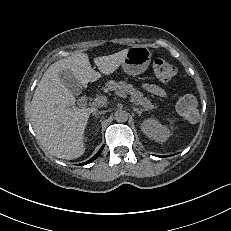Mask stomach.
<instances>
[{"instance_id": "obj_1", "label": "stomach", "mask_w": 231, "mask_h": 231, "mask_svg": "<svg viewBox=\"0 0 231 231\" xmlns=\"http://www.w3.org/2000/svg\"><path fill=\"white\" fill-rule=\"evenodd\" d=\"M152 53L145 46H134L128 49L127 55L122 62L125 73L137 76L146 71L151 62Z\"/></svg>"}]
</instances>
